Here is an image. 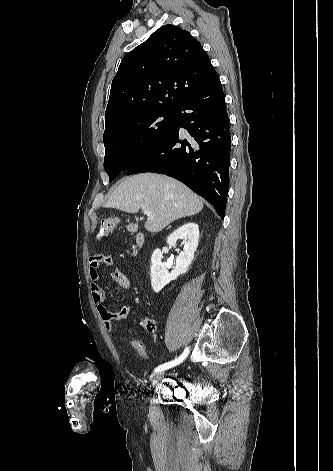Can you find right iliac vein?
<instances>
[{"instance_id":"right-iliac-vein-1","label":"right iliac vein","mask_w":333,"mask_h":471,"mask_svg":"<svg viewBox=\"0 0 333 471\" xmlns=\"http://www.w3.org/2000/svg\"><path fill=\"white\" fill-rule=\"evenodd\" d=\"M164 373H165L164 370L155 372V373L151 376L150 380H151V381H154V382H155V381H158V380H160V379L162 378V376L164 375Z\"/></svg>"}]
</instances>
